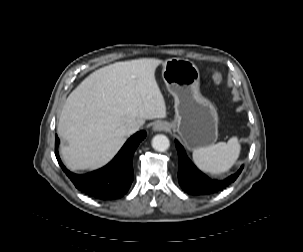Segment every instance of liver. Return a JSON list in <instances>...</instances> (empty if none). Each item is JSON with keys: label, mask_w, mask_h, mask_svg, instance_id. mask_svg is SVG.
Segmentation results:
<instances>
[{"label": "liver", "mask_w": 303, "mask_h": 252, "mask_svg": "<svg viewBox=\"0 0 303 252\" xmlns=\"http://www.w3.org/2000/svg\"><path fill=\"white\" fill-rule=\"evenodd\" d=\"M161 63L154 58L116 62L91 73L70 93L57 127L68 143L60 152L69 169L105 165L126 141V124L167 116L155 79Z\"/></svg>", "instance_id": "obj_1"}]
</instances>
